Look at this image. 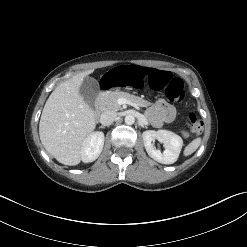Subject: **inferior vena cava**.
Masks as SVG:
<instances>
[{
    "label": "inferior vena cava",
    "mask_w": 247,
    "mask_h": 247,
    "mask_svg": "<svg viewBox=\"0 0 247 247\" xmlns=\"http://www.w3.org/2000/svg\"><path fill=\"white\" fill-rule=\"evenodd\" d=\"M117 118V113L112 110L103 112L100 116V123L104 126L111 125Z\"/></svg>",
    "instance_id": "inferior-vena-cava-1"
}]
</instances>
